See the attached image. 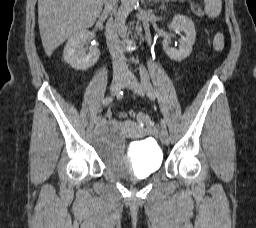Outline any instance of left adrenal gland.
Here are the masks:
<instances>
[{
    "mask_svg": "<svg viewBox=\"0 0 256 228\" xmlns=\"http://www.w3.org/2000/svg\"><path fill=\"white\" fill-rule=\"evenodd\" d=\"M148 1H153V2H156V3L158 2V0H148Z\"/></svg>",
    "mask_w": 256,
    "mask_h": 228,
    "instance_id": "left-adrenal-gland-1",
    "label": "left adrenal gland"
}]
</instances>
